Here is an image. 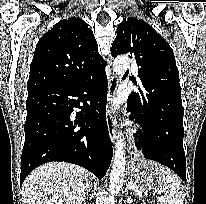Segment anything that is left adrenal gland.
Segmentation results:
<instances>
[{"label":"left adrenal gland","instance_id":"a2214340","mask_svg":"<svg viewBox=\"0 0 206 204\" xmlns=\"http://www.w3.org/2000/svg\"><path fill=\"white\" fill-rule=\"evenodd\" d=\"M126 190H130V187L128 185L126 186Z\"/></svg>","mask_w":206,"mask_h":204}]
</instances>
